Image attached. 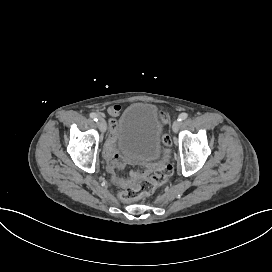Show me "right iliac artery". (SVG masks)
<instances>
[{
  "label": "right iliac artery",
  "mask_w": 272,
  "mask_h": 272,
  "mask_svg": "<svg viewBox=\"0 0 272 272\" xmlns=\"http://www.w3.org/2000/svg\"><path fill=\"white\" fill-rule=\"evenodd\" d=\"M90 117L94 120V121H98V116L95 113H90Z\"/></svg>",
  "instance_id": "obj_1"
}]
</instances>
